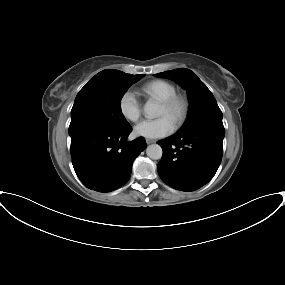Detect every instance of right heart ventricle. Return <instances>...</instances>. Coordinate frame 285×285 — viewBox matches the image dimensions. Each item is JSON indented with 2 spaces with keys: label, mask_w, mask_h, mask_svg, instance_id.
<instances>
[{
  "label": "right heart ventricle",
  "mask_w": 285,
  "mask_h": 285,
  "mask_svg": "<svg viewBox=\"0 0 285 285\" xmlns=\"http://www.w3.org/2000/svg\"><path fill=\"white\" fill-rule=\"evenodd\" d=\"M140 91L148 97L162 101L177 93V88L168 80L156 79L142 85Z\"/></svg>",
  "instance_id": "right-heart-ventricle-1"
}]
</instances>
